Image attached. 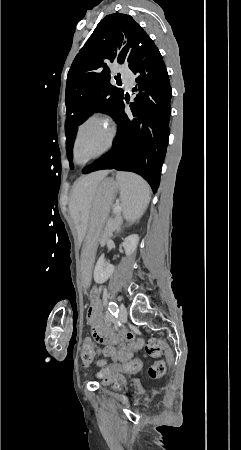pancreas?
<instances>
[{"mask_svg":"<svg viewBox=\"0 0 241 450\" xmlns=\"http://www.w3.org/2000/svg\"><path fill=\"white\" fill-rule=\"evenodd\" d=\"M117 220H120L118 214H116V216H113V218H111V222H108V226L106 228L107 232H113V224H116ZM117 228H118V226H117ZM98 241H99V245L103 246L104 243L105 244L110 243L111 238H110V236L106 235L105 232H102L101 236L98 238ZM97 248H99V247H97Z\"/></svg>","mask_w":241,"mask_h":450,"instance_id":"obj_1","label":"pancreas"}]
</instances>
